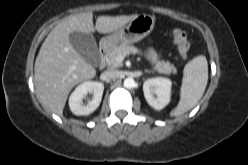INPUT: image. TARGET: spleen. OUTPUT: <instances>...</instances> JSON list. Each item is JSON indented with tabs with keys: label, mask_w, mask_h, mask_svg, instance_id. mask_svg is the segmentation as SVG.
Here are the masks:
<instances>
[{
	"label": "spleen",
	"mask_w": 248,
	"mask_h": 165,
	"mask_svg": "<svg viewBox=\"0 0 248 165\" xmlns=\"http://www.w3.org/2000/svg\"><path fill=\"white\" fill-rule=\"evenodd\" d=\"M208 81V63L203 55H199L184 67L180 100L170 115L180 116L192 109L204 94Z\"/></svg>",
	"instance_id": "1"
}]
</instances>
